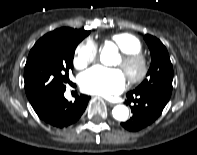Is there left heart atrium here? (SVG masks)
<instances>
[{
  "label": "left heart atrium",
  "mask_w": 197,
  "mask_h": 155,
  "mask_svg": "<svg viewBox=\"0 0 197 155\" xmlns=\"http://www.w3.org/2000/svg\"><path fill=\"white\" fill-rule=\"evenodd\" d=\"M79 83L86 93L109 96L124 89L125 76L119 69L95 66L81 74Z\"/></svg>",
  "instance_id": "39dd6f15"
}]
</instances>
